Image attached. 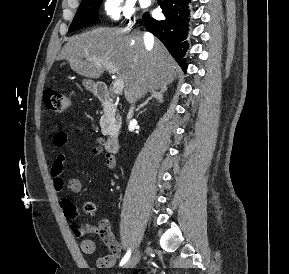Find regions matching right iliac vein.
Listing matches in <instances>:
<instances>
[{
    "label": "right iliac vein",
    "mask_w": 289,
    "mask_h": 274,
    "mask_svg": "<svg viewBox=\"0 0 289 274\" xmlns=\"http://www.w3.org/2000/svg\"><path fill=\"white\" fill-rule=\"evenodd\" d=\"M140 251L136 250L132 257L125 263L124 268H133L139 262Z\"/></svg>",
    "instance_id": "right-iliac-vein-1"
}]
</instances>
